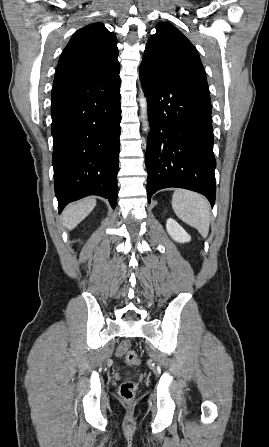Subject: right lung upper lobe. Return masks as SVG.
Here are the masks:
<instances>
[{
	"mask_svg": "<svg viewBox=\"0 0 269 447\" xmlns=\"http://www.w3.org/2000/svg\"><path fill=\"white\" fill-rule=\"evenodd\" d=\"M117 39L102 23L78 30L63 50L54 85L103 79L120 70Z\"/></svg>",
	"mask_w": 269,
	"mask_h": 447,
	"instance_id": "cb5924a9",
	"label": "right lung upper lobe"
}]
</instances>
